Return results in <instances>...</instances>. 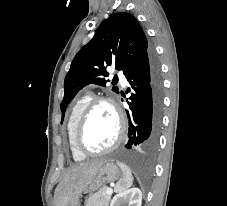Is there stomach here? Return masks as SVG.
Listing matches in <instances>:
<instances>
[{"label":"stomach","instance_id":"0dacf381","mask_svg":"<svg viewBox=\"0 0 227 206\" xmlns=\"http://www.w3.org/2000/svg\"><path fill=\"white\" fill-rule=\"evenodd\" d=\"M121 176L120 169L111 161L106 160L98 169L96 175L85 188V191H94L107 183H111L119 179ZM80 206V203L77 204Z\"/></svg>","mask_w":227,"mask_h":206}]
</instances>
